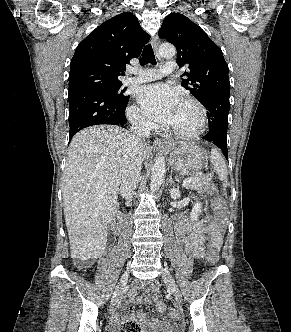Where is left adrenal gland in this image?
Instances as JSON below:
<instances>
[{
  "instance_id": "a2214340",
  "label": "left adrenal gland",
  "mask_w": 291,
  "mask_h": 332,
  "mask_svg": "<svg viewBox=\"0 0 291 332\" xmlns=\"http://www.w3.org/2000/svg\"><path fill=\"white\" fill-rule=\"evenodd\" d=\"M169 183H170V184H171V183L174 184V181H173V179H172V174L169 175V178L167 179V183H166V185L168 186Z\"/></svg>"
}]
</instances>
